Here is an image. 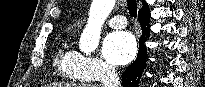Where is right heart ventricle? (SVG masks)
I'll return each instance as SVG.
<instances>
[{"label": "right heart ventricle", "mask_w": 205, "mask_h": 87, "mask_svg": "<svg viewBox=\"0 0 205 87\" xmlns=\"http://www.w3.org/2000/svg\"><path fill=\"white\" fill-rule=\"evenodd\" d=\"M79 57L80 54L70 48L67 43H63L57 48L54 65L63 79L76 82L87 80L78 70Z\"/></svg>", "instance_id": "1"}]
</instances>
